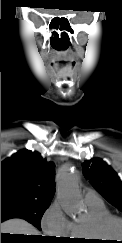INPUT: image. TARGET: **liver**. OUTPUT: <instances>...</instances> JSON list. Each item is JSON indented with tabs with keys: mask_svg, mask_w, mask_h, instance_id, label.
Returning <instances> with one entry per match:
<instances>
[{
	"mask_svg": "<svg viewBox=\"0 0 122 243\" xmlns=\"http://www.w3.org/2000/svg\"><path fill=\"white\" fill-rule=\"evenodd\" d=\"M1 233L38 235L40 232L23 219L15 218L1 223Z\"/></svg>",
	"mask_w": 122,
	"mask_h": 243,
	"instance_id": "6515ba94",
	"label": "liver"
}]
</instances>
